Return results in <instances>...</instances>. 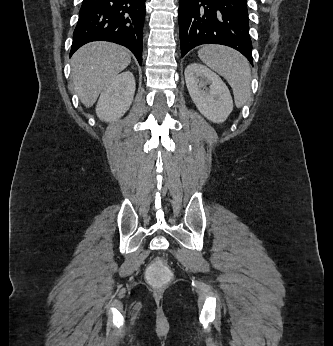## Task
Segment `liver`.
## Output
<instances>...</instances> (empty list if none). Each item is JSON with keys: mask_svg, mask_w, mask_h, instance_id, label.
<instances>
[{"mask_svg": "<svg viewBox=\"0 0 333 346\" xmlns=\"http://www.w3.org/2000/svg\"><path fill=\"white\" fill-rule=\"evenodd\" d=\"M131 62L130 53L109 42L82 46L72 57L74 89L85 107H91L101 91Z\"/></svg>", "mask_w": 333, "mask_h": 346, "instance_id": "obj_1", "label": "liver"}]
</instances>
